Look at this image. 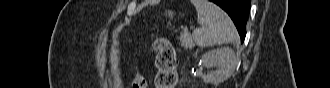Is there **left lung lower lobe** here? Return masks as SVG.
<instances>
[{
  "instance_id": "obj_1",
  "label": "left lung lower lobe",
  "mask_w": 330,
  "mask_h": 88,
  "mask_svg": "<svg viewBox=\"0 0 330 88\" xmlns=\"http://www.w3.org/2000/svg\"><path fill=\"white\" fill-rule=\"evenodd\" d=\"M220 6L233 20L241 42L246 36V23L250 11V0H210Z\"/></svg>"
}]
</instances>
